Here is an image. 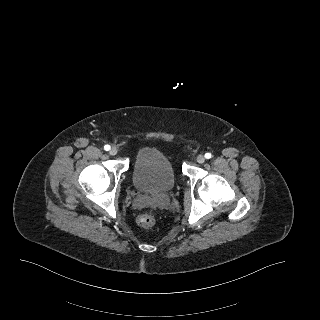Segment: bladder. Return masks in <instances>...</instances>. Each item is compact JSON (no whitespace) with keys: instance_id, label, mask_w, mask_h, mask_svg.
<instances>
[{"instance_id":"1","label":"bladder","mask_w":320,"mask_h":320,"mask_svg":"<svg viewBox=\"0 0 320 320\" xmlns=\"http://www.w3.org/2000/svg\"><path fill=\"white\" fill-rule=\"evenodd\" d=\"M137 190L146 194L171 191L176 183L174 168L168 157L157 148L145 147L138 151L132 172Z\"/></svg>"}]
</instances>
